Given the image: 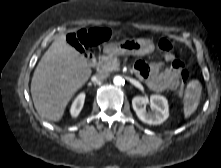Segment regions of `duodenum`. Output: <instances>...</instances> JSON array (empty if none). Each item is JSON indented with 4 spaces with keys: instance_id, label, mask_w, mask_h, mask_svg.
Returning a JSON list of instances; mask_svg holds the SVG:
<instances>
[{
    "instance_id": "410a0bca",
    "label": "duodenum",
    "mask_w": 221,
    "mask_h": 168,
    "mask_svg": "<svg viewBox=\"0 0 221 168\" xmlns=\"http://www.w3.org/2000/svg\"><path fill=\"white\" fill-rule=\"evenodd\" d=\"M84 59L87 65H89L90 67H94L97 64L96 57L91 53L85 54Z\"/></svg>"
}]
</instances>
